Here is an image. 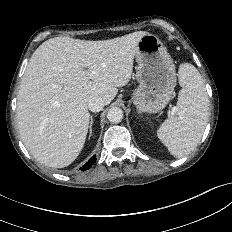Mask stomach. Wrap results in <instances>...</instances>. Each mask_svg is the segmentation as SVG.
<instances>
[{"label": "stomach", "instance_id": "obj_1", "mask_svg": "<svg viewBox=\"0 0 232 232\" xmlns=\"http://www.w3.org/2000/svg\"><path fill=\"white\" fill-rule=\"evenodd\" d=\"M135 58L139 85L132 101L139 113H157L171 100L176 86L173 59L161 40L149 33L139 41Z\"/></svg>", "mask_w": 232, "mask_h": 232}]
</instances>
